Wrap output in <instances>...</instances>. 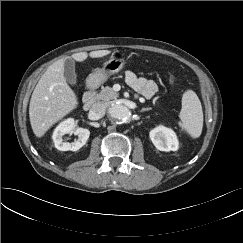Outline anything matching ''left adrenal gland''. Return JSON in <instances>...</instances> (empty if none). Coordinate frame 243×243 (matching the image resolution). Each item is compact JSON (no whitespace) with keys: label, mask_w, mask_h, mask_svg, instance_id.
Listing matches in <instances>:
<instances>
[{"label":"left adrenal gland","mask_w":243,"mask_h":243,"mask_svg":"<svg viewBox=\"0 0 243 243\" xmlns=\"http://www.w3.org/2000/svg\"><path fill=\"white\" fill-rule=\"evenodd\" d=\"M151 108H143V109H141V112H144V111H148V110H150Z\"/></svg>","instance_id":"1"}]
</instances>
